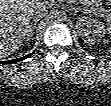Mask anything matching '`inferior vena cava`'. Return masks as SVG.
Wrapping results in <instances>:
<instances>
[{
  "mask_svg": "<svg viewBox=\"0 0 111 106\" xmlns=\"http://www.w3.org/2000/svg\"><path fill=\"white\" fill-rule=\"evenodd\" d=\"M47 13H48V10L44 2H36V4H34V6L30 10L31 16L39 20L42 17L46 16Z\"/></svg>",
  "mask_w": 111,
  "mask_h": 106,
  "instance_id": "inferior-vena-cava-1",
  "label": "inferior vena cava"
}]
</instances>
